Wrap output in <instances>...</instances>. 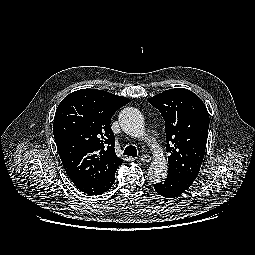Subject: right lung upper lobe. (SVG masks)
<instances>
[{
  "label": "right lung upper lobe",
  "instance_id": "cb5924a9",
  "mask_svg": "<svg viewBox=\"0 0 255 255\" xmlns=\"http://www.w3.org/2000/svg\"><path fill=\"white\" fill-rule=\"evenodd\" d=\"M130 99L97 89H81L58 105L53 133L64 169L76 184L100 182L123 162L115 153L114 113Z\"/></svg>",
  "mask_w": 255,
  "mask_h": 255
}]
</instances>
